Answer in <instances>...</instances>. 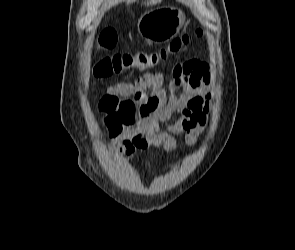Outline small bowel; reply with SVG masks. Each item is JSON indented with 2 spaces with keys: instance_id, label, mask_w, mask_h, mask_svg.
Instances as JSON below:
<instances>
[{
  "instance_id": "c3829d8e",
  "label": "small bowel",
  "mask_w": 295,
  "mask_h": 250,
  "mask_svg": "<svg viewBox=\"0 0 295 250\" xmlns=\"http://www.w3.org/2000/svg\"><path fill=\"white\" fill-rule=\"evenodd\" d=\"M163 82L162 73L148 72L132 82H121L107 90L108 96L132 98L140 109L137 124L113 139L115 153L130 155L150 146L174 151L178 146L174 136L182 133L186 144L197 143L210 112L208 64L198 59L176 63L171 70L168 94ZM162 124H166L165 127Z\"/></svg>"
}]
</instances>
